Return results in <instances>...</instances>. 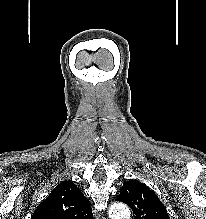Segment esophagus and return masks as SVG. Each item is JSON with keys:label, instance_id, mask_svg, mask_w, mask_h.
<instances>
[{"label": "esophagus", "instance_id": "esophagus-1", "mask_svg": "<svg viewBox=\"0 0 206 219\" xmlns=\"http://www.w3.org/2000/svg\"><path fill=\"white\" fill-rule=\"evenodd\" d=\"M94 215H95V218H96V219H106V218H104V217H100V216L97 214L96 211H94Z\"/></svg>", "mask_w": 206, "mask_h": 219}]
</instances>
